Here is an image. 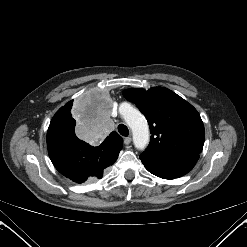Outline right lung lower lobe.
<instances>
[{"label": "right lung lower lobe", "instance_id": "right-lung-lower-lobe-1", "mask_svg": "<svg viewBox=\"0 0 247 247\" xmlns=\"http://www.w3.org/2000/svg\"><path fill=\"white\" fill-rule=\"evenodd\" d=\"M48 153L55 168L76 183L101 178L104 170L112 165L120 152L107 145L90 146L75 135L74 130L49 126Z\"/></svg>", "mask_w": 247, "mask_h": 247}]
</instances>
